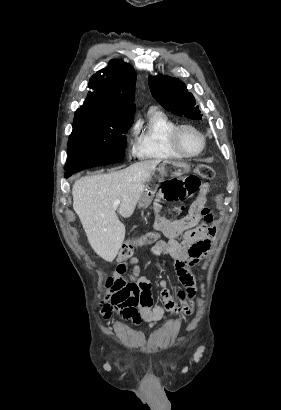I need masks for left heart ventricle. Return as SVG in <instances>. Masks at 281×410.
Masks as SVG:
<instances>
[{
  "mask_svg": "<svg viewBox=\"0 0 281 410\" xmlns=\"http://www.w3.org/2000/svg\"><path fill=\"white\" fill-rule=\"evenodd\" d=\"M181 141L184 148L189 152H196L201 147L200 136L192 130L184 131L181 136Z\"/></svg>",
  "mask_w": 281,
  "mask_h": 410,
  "instance_id": "left-heart-ventricle-1",
  "label": "left heart ventricle"
}]
</instances>
